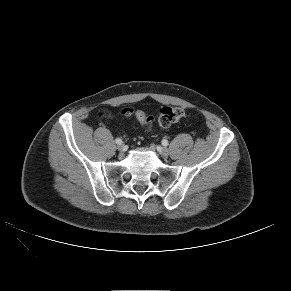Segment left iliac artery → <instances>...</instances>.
I'll use <instances>...</instances> for the list:
<instances>
[{"label":"left iliac artery","instance_id":"44dca946","mask_svg":"<svg viewBox=\"0 0 291 291\" xmlns=\"http://www.w3.org/2000/svg\"><path fill=\"white\" fill-rule=\"evenodd\" d=\"M162 145L167 146L168 145V141L166 139L162 140Z\"/></svg>","mask_w":291,"mask_h":291}]
</instances>
